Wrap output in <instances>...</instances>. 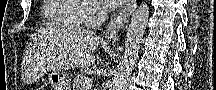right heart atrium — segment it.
Masks as SVG:
<instances>
[{"mask_svg": "<svg viewBox=\"0 0 216 90\" xmlns=\"http://www.w3.org/2000/svg\"><path fill=\"white\" fill-rule=\"evenodd\" d=\"M99 13H100V10L97 6H91L84 11V13L82 14V19L83 20H96Z\"/></svg>", "mask_w": 216, "mask_h": 90, "instance_id": "right-heart-atrium-1", "label": "right heart atrium"}]
</instances>
